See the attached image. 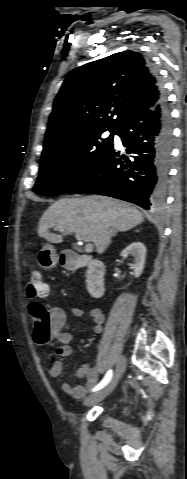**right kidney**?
<instances>
[{
	"label": "right kidney",
	"instance_id": "ca27d5eb",
	"mask_svg": "<svg viewBox=\"0 0 187 479\" xmlns=\"http://www.w3.org/2000/svg\"><path fill=\"white\" fill-rule=\"evenodd\" d=\"M146 252V248L141 242H133L121 252L122 257L131 255L134 258V261L130 266L134 271L135 277H139L143 272Z\"/></svg>",
	"mask_w": 187,
	"mask_h": 479
}]
</instances>
